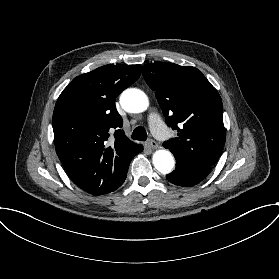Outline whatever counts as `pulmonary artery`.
<instances>
[{
    "mask_svg": "<svg viewBox=\"0 0 279 279\" xmlns=\"http://www.w3.org/2000/svg\"><path fill=\"white\" fill-rule=\"evenodd\" d=\"M145 122L149 128L153 131L156 138L159 140H165L169 136V131L165 127L164 123L154 113H149L145 117Z\"/></svg>",
    "mask_w": 279,
    "mask_h": 279,
    "instance_id": "e3ab8cb5",
    "label": "pulmonary artery"
}]
</instances>
